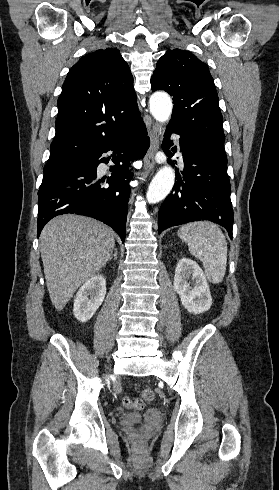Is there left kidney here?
Instances as JSON below:
<instances>
[{
  "label": "left kidney",
  "instance_id": "left-kidney-1",
  "mask_svg": "<svg viewBox=\"0 0 279 490\" xmlns=\"http://www.w3.org/2000/svg\"><path fill=\"white\" fill-rule=\"evenodd\" d=\"M192 280V282H189ZM174 292L180 296V302L190 314H203L212 306L211 292L206 276L196 262L182 258L175 270Z\"/></svg>",
  "mask_w": 279,
  "mask_h": 490
}]
</instances>
